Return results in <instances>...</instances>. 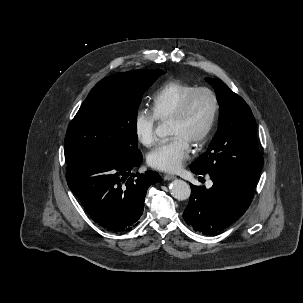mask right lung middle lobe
<instances>
[{
    "label": "right lung middle lobe",
    "instance_id": "obj_1",
    "mask_svg": "<svg viewBox=\"0 0 303 303\" xmlns=\"http://www.w3.org/2000/svg\"><path fill=\"white\" fill-rule=\"evenodd\" d=\"M164 71L135 70L104 78L70 122L64 141L66 162L88 151L118 159L142 157L137 141V109L142 95Z\"/></svg>",
    "mask_w": 303,
    "mask_h": 303
}]
</instances>
